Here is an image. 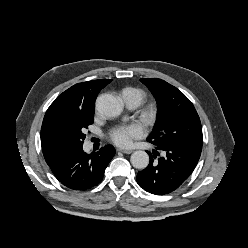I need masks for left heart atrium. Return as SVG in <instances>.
<instances>
[{
    "instance_id": "obj_1",
    "label": "left heart atrium",
    "mask_w": 248,
    "mask_h": 248,
    "mask_svg": "<svg viewBox=\"0 0 248 248\" xmlns=\"http://www.w3.org/2000/svg\"><path fill=\"white\" fill-rule=\"evenodd\" d=\"M143 128L139 124H131L115 129L111 134V140L119 147H129L134 140L143 136Z\"/></svg>"
}]
</instances>
